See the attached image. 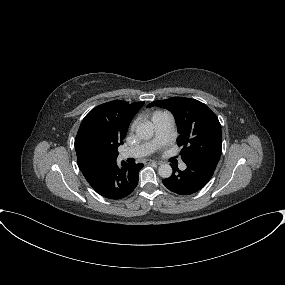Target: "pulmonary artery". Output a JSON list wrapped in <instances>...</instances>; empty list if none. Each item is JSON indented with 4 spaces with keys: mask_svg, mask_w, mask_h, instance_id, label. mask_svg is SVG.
<instances>
[{
    "mask_svg": "<svg viewBox=\"0 0 285 285\" xmlns=\"http://www.w3.org/2000/svg\"><path fill=\"white\" fill-rule=\"evenodd\" d=\"M155 138L142 145L126 149L120 153L121 159L140 158L151 154L158 146L166 143L172 129V117L169 113H164L154 121ZM183 170L186 168L184 163L180 164Z\"/></svg>",
    "mask_w": 285,
    "mask_h": 285,
    "instance_id": "pulmonary-artery-1",
    "label": "pulmonary artery"
}]
</instances>
